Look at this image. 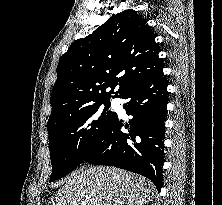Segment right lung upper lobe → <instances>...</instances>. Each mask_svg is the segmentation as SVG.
Instances as JSON below:
<instances>
[{
  "label": "right lung upper lobe",
  "mask_w": 222,
  "mask_h": 205,
  "mask_svg": "<svg viewBox=\"0 0 222 205\" xmlns=\"http://www.w3.org/2000/svg\"><path fill=\"white\" fill-rule=\"evenodd\" d=\"M155 37L147 20L128 9L74 41L57 66L47 125L109 101L112 93L120 98L130 86L162 69ZM108 87L110 92L105 91Z\"/></svg>",
  "instance_id": "cb5924a9"
}]
</instances>
